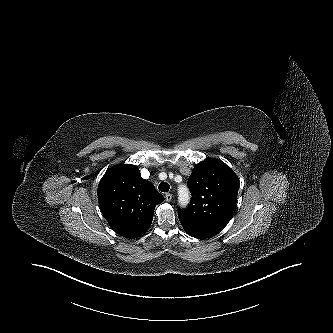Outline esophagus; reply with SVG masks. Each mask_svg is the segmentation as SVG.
Returning a JSON list of instances; mask_svg holds the SVG:
<instances>
[{
    "label": "esophagus",
    "instance_id": "1",
    "mask_svg": "<svg viewBox=\"0 0 333 333\" xmlns=\"http://www.w3.org/2000/svg\"><path fill=\"white\" fill-rule=\"evenodd\" d=\"M165 200H166L167 202H170V201L172 200V194H171V193H166V194H165Z\"/></svg>",
    "mask_w": 333,
    "mask_h": 333
}]
</instances>
